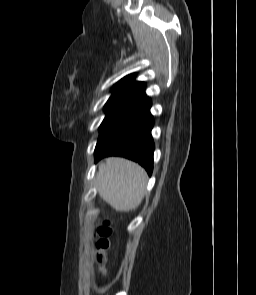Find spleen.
Returning a JSON list of instances; mask_svg holds the SVG:
<instances>
[{
    "label": "spleen",
    "mask_w": 256,
    "mask_h": 295,
    "mask_svg": "<svg viewBox=\"0 0 256 295\" xmlns=\"http://www.w3.org/2000/svg\"><path fill=\"white\" fill-rule=\"evenodd\" d=\"M146 173L136 163L108 158L99 167L96 186L100 197L116 211L136 209L142 202Z\"/></svg>",
    "instance_id": "obj_1"
}]
</instances>
